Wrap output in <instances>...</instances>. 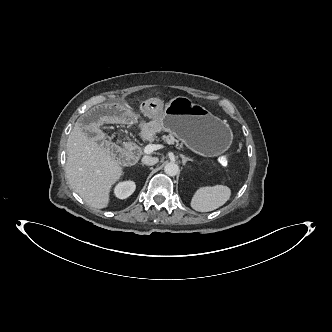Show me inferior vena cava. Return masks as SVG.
Returning <instances> with one entry per match:
<instances>
[{"instance_id":"602c4592","label":"inferior vena cava","mask_w":332,"mask_h":332,"mask_svg":"<svg viewBox=\"0 0 332 332\" xmlns=\"http://www.w3.org/2000/svg\"><path fill=\"white\" fill-rule=\"evenodd\" d=\"M141 161L143 164L151 166L157 164L159 159L157 157L144 156Z\"/></svg>"}]
</instances>
